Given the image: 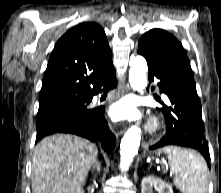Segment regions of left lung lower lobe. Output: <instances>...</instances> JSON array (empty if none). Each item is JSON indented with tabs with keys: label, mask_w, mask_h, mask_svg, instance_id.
Here are the masks:
<instances>
[{
	"label": "left lung lower lobe",
	"mask_w": 221,
	"mask_h": 193,
	"mask_svg": "<svg viewBox=\"0 0 221 193\" xmlns=\"http://www.w3.org/2000/svg\"><path fill=\"white\" fill-rule=\"evenodd\" d=\"M148 62L149 82L159 79L160 92L168 96L172 106L161 109L166 122V136L150 149L175 145L198 150L210 168L208 141L204 134L201 103L191 68L163 63L138 49Z\"/></svg>",
	"instance_id": "1"
}]
</instances>
